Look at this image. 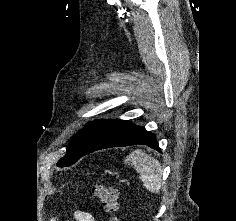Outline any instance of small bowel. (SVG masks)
Listing matches in <instances>:
<instances>
[{"label": "small bowel", "instance_id": "c3829d8e", "mask_svg": "<svg viewBox=\"0 0 236 221\" xmlns=\"http://www.w3.org/2000/svg\"><path fill=\"white\" fill-rule=\"evenodd\" d=\"M74 220L73 221H95L94 217L86 211L74 210L73 211ZM51 221H57V218L54 217Z\"/></svg>", "mask_w": 236, "mask_h": 221}]
</instances>
